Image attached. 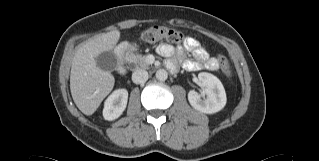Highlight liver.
<instances>
[{
	"mask_svg": "<svg viewBox=\"0 0 319 161\" xmlns=\"http://www.w3.org/2000/svg\"><path fill=\"white\" fill-rule=\"evenodd\" d=\"M119 38L118 30L100 34L82 45L74 55L70 90L76 106L85 115H92L114 87L113 75L97 67L95 58L111 51Z\"/></svg>",
	"mask_w": 319,
	"mask_h": 161,
	"instance_id": "obj_1",
	"label": "liver"
}]
</instances>
